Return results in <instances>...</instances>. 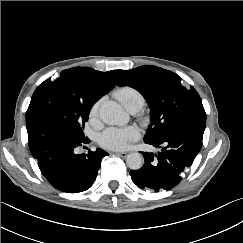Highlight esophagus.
Here are the masks:
<instances>
[{"label":"esophagus","mask_w":243,"mask_h":243,"mask_svg":"<svg viewBox=\"0 0 243 243\" xmlns=\"http://www.w3.org/2000/svg\"><path fill=\"white\" fill-rule=\"evenodd\" d=\"M119 156L125 158L128 156L129 152L125 151V152H116Z\"/></svg>","instance_id":"1"}]
</instances>
